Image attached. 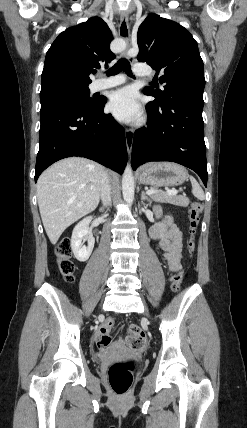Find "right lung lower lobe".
I'll return each mask as SVG.
<instances>
[{"label": "right lung lower lobe", "instance_id": "right-lung-lower-lobe-1", "mask_svg": "<svg viewBox=\"0 0 247 428\" xmlns=\"http://www.w3.org/2000/svg\"><path fill=\"white\" fill-rule=\"evenodd\" d=\"M107 99L92 107L50 105L40 111V141L35 181L54 162L71 156L92 159L122 174L127 162L125 131L111 114Z\"/></svg>", "mask_w": 247, "mask_h": 428}]
</instances>
